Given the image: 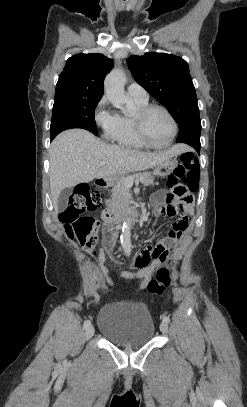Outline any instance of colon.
<instances>
[{
  "label": "colon",
  "mask_w": 247,
  "mask_h": 407,
  "mask_svg": "<svg viewBox=\"0 0 247 407\" xmlns=\"http://www.w3.org/2000/svg\"><path fill=\"white\" fill-rule=\"evenodd\" d=\"M200 167L199 161L192 153H184L179 165L169 176L167 187L173 188L175 194L183 201L192 202L191 194L199 187ZM102 203L99 192L93 191L87 185L76 188L69 199L68 207L60 216L69 238H76L81 246L92 251L100 239V223L85 213L94 211ZM171 283L170 273L166 268L158 270L156 278L148 283V291L151 295H161Z\"/></svg>",
  "instance_id": "colon-1"
}]
</instances>
